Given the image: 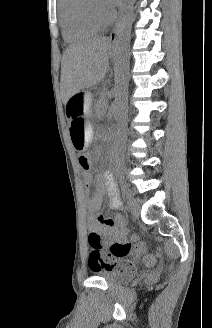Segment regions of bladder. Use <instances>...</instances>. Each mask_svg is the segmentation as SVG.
<instances>
[{
	"label": "bladder",
	"instance_id": "bladder-1",
	"mask_svg": "<svg viewBox=\"0 0 212 328\" xmlns=\"http://www.w3.org/2000/svg\"><path fill=\"white\" fill-rule=\"evenodd\" d=\"M95 274L99 277L104 278L109 284L119 285L129 282L133 275L130 273L115 271V270H97Z\"/></svg>",
	"mask_w": 212,
	"mask_h": 328
}]
</instances>
